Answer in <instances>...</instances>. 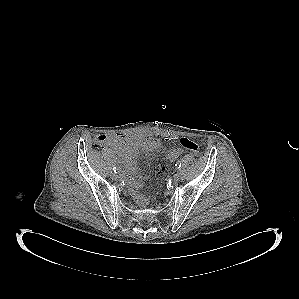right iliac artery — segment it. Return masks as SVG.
I'll return each instance as SVG.
<instances>
[{"label":"right iliac artery","mask_w":299,"mask_h":299,"mask_svg":"<svg viewBox=\"0 0 299 299\" xmlns=\"http://www.w3.org/2000/svg\"><path fill=\"white\" fill-rule=\"evenodd\" d=\"M113 171L116 173V171H117V168H116V167H113Z\"/></svg>","instance_id":"1"}]
</instances>
